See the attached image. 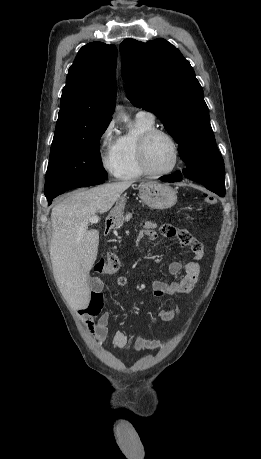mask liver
Returning <instances> with one entry per match:
<instances>
[{
  "label": "liver",
  "mask_w": 261,
  "mask_h": 459,
  "mask_svg": "<svg viewBox=\"0 0 261 459\" xmlns=\"http://www.w3.org/2000/svg\"><path fill=\"white\" fill-rule=\"evenodd\" d=\"M130 182H114L88 190H76L51 212L50 258L60 291L74 311L89 303L87 282L98 253L99 232L88 230L89 218L111 209Z\"/></svg>",
  "instance_id": "liver-1"
}]
</instances>
